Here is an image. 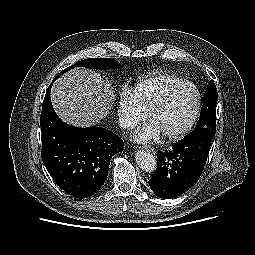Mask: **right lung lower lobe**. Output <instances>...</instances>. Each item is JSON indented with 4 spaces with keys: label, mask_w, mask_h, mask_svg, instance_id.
I'll use <instances>...</instances> for the list:
<instances>
[{
    "label": "right lung lower lobe",
    "mask_w": 255,
    "mask_h": 255,
    "mask_svg": "<svg viewBox=\"0 0 255 255\" xmlns=\"http://www.w3.org/2000/svg\"><path fill=\"white\" fill-rule=\"evenodd\" d=\"M53 83V82H52ZM50 84L42 105V160L57 185L76 198L92 196L105 182L110 160L123 151L122 139L102 127L77 128L55 113Z\"/></svg>",
    "instance_id": "1"
}]
</instances>
